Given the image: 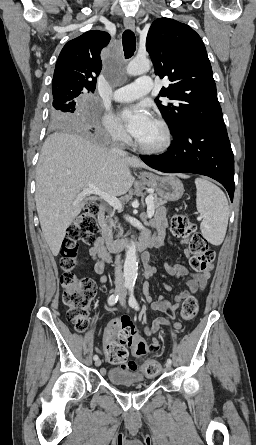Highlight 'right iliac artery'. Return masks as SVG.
I'll return each mask as SVG.
<instances>
[{"mask_svg": "<svg viewBox=\"0 0 256 445\" xmlns=\"http://www.w3.org/2000/svg\"><path fill=\"white\" fill-rule=\"evenodd\" d=\"M117 301H118V295H117V294H112V295L109 297V299H108V304H109L110 306H113V305H115V304L117 303ZM93 359L96 361V360L98 359V356H97V355H94Z\"/></svg>", "mask_w": 256, "mask_h": 445, "instance_id": "1", "label": "right iliac artery"}]
</instances>
